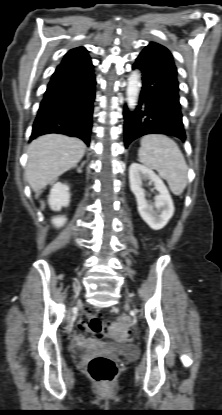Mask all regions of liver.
<instances>
[{"label":"liver","mask_w":222,"mask_h":415,"mask_svg":"<svg viewBox=\"0 0 222 415\" xmlns=\"http://www.w3.org/2000/svg\"><path fill=\"white\" fill-rule=\"evenodd\" d=\"M85 143L74 137L48 134L38 137L28 147L25 178L34 192L68 171L84 156Z\"/></svg>","instance_id":"1"}]
</instances>
